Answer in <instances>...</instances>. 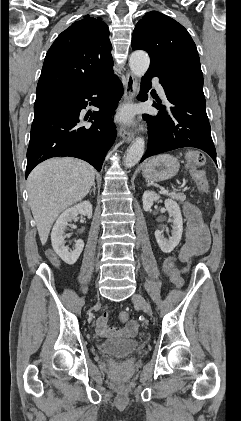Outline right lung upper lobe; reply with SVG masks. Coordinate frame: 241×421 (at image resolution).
Returning <instances> with one entry per match:
<instances>
[{
	"instance_id": "cb5924a9",
	"label": "right lung upper lobe",
	"mask_w": 241,
	"mask_h": 421,
	"mask_svg": "<svg viewBox=\"0 0 241 421\" xmlns=\"http://www.w3.org/2000/svg\"><path fill=\"white\" fill-rule=\"evenodd\" d=\"M109 29L101 18L88 15L63 31L48 50L36 98L90 85L113 67Z\"/></svg>"
}]
</instances>
